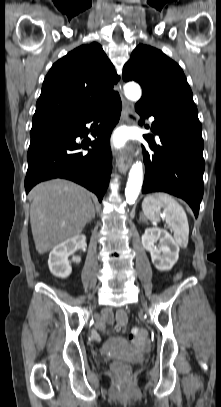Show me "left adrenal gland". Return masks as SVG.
<instances>
[{"label": "left adrenal gland", "instance_id": "a2214340", "mask_svg": "<svg viewBox=\"0 0 221 407\" xmlns=\"http://www.w3.org/2000/svg\"><path fill=\"white\" fill-rule=\"evenodd\" d=\"M141 221H144V222L147 223V220H146V218H144V216H143L142 213H140V222H141Z\"/></svg>", "mask_w": 221, "mask_h": 407}]
</instances>
